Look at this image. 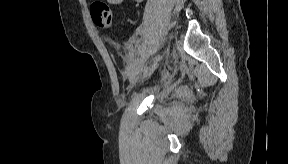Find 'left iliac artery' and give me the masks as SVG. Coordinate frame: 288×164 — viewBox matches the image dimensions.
<instances>
[{
	"label": "left iliac artery",
	"instance_id": "left-iliac-artery-1",
	"mask_svg": "<svg viewBox=\"0 0 288 164\" xmlns=\"http://www.w3.org/2000/svg\"><path fill=\"white\" fill-rule=\"evenodd\" d=\"M140 60H141L140 58H136L134 60V66H137L139 64Z\"/></svg>",
	"mask_w": 288,
	"mask_h": 164
}]
</instances>
